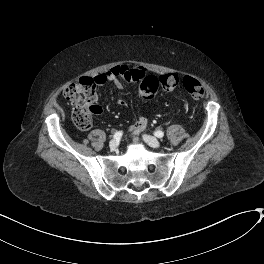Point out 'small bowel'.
Instances as JSON below:
<instances>
[{
	"mask_svg": "<svg viewBox=\"0 0 264 264\" xmlns=\"http://www.w3.org/2000/svg\"><path fill=\"white\" fill-rule=\"evenodd\" d=\"M121 68H124L122 73H116L114 68L96 76L94 78L95 83L102 85L107 82H112L118 89H122L123 83L119 76H122L123 79L129 82H140L150 76L148 71L142 66L123 65ZM116 102L120 106H126V101L122 98H117ZM99 110L98 108V111ZM148 123L149 121L146 116L139 115L136 123L130 127V132L134 135H138L147 128Z\"/></svg>",
	"mask_w": 264,
	"mask_h": 264,
	"instance_id": "small-bowel-1",
	"label": "small bowel"
}]
</instances>
